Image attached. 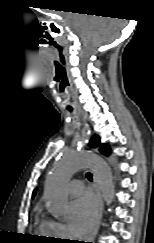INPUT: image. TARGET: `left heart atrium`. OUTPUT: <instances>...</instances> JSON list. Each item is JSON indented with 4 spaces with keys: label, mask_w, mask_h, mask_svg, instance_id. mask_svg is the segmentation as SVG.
<instances>
[{
    "label": "left heart atrium",
    "mask_w": 154,
    "mask_h": 243,
    "mask_svg": "<svg viewBox=\"0 0 154 243\" xmlns=\"http://www.w3.org/2000/svg\"><path fill=\"white\" fill-rule=\"evenodd\" d=\"M96 214L94 199L86 194L73 201L69 208V226L78 236L87 234L93 227Z\"/></svg>",
    "instance_id": "1"
}]
</instances>
